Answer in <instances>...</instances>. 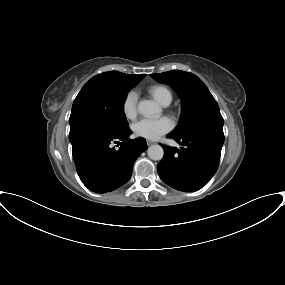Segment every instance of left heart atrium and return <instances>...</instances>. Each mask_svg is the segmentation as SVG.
<instances>
[{
  "instance_id": "1",
  "label": "left heart atrium",
  "mask_w": 285,
  "mask_h": 285,
  "mask_svg": "<svg viewBox=\"0 0 285 285\" xmlns=\"http://www.w3.org/2000/svg\"><path fill=\"white\" fill-rule=\"evenodd\" d=\"M172 127V121L166 117L159 119L143 118L134 124L133 131L138 137L148 140H156L161 135L169 132Z\"/></svg>"
}]
</instances>
